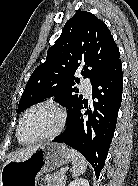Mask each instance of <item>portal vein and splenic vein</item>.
Instances as JSON below:
<instances>
[{
  "label": "portal vein and splenic vein",
  "mask_w": 138,
  "mask_h": 186,
  "mask_svg": "<svg viewBox=\"0 0 138 186\" xmlns=\"http://www.w3.org/2000/svg\"><path fill=\"white\" fill-rule=\"evenodd\" d=\"M65 173H66V170H65V169H61V170H60V174H61L62 176H64Z\"/></svg>",
  "instance_id": "18ae733b"
}]
</instances>
